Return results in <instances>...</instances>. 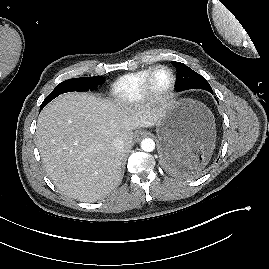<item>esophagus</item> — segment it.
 I'll return each instance as SVG.
<instances>
[{
	"label": "esophagus",
	"mask_w": 269,
	"mask_h": 269,
	"mask_svg": "<svg viewBox=\"0 0 269 269\" xmlns=\"http://www.w3.org/2000/svg\"><path fill=\"white\" fill-rule=\"evenodd\" d=\"M146 133L144 131H141L137 134V137H143Z\"/></svg>",
	"instance_id": "1"
}]
</instances>
